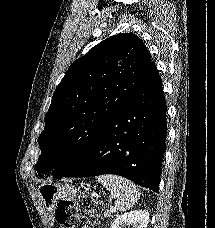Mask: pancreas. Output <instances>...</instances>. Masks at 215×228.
<instances>
[{"instance_id":"pancreas-1","label":"pancreas","mask_w":215,"mask_h":228,"mask_svg":"<svg viewBox=\"0 0 215 228\" xmlns=\"http://www.w3.org/2000/svg\"><path fill=\"white\" fill-rule=\"evenodd\" d=\"M110 216H112V212H110V210H105L104 218H110Z\"/></svg>"}]
</instances>
